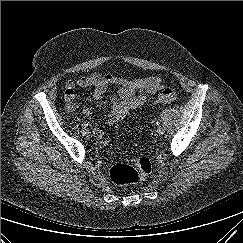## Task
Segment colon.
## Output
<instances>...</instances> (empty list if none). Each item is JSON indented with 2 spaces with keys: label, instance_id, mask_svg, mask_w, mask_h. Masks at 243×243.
<instances>
[{
  "label": "colon",
  "instance_id": "colon-1",
  "mask_svg": "<svg viewBox=\"0 0 243 243\" xmlns=\"http://www.w3.org/2000/svg\"><path fill=\"white\" fill-rule=\"evenodd\" d=\"M177 98L170 88L160 90L156 103H171ZM152 163L147 157L139 158L132 163L119 161L109 171L111 181L116 185L138 184L151 172Z\"/></svg>",
  "mask_w": 243,
  "mask_h": 243
}]
</instances>
